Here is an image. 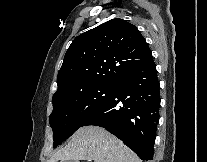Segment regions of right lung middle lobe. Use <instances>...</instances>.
Wrapping results in <instances>:
<instances>
[{
    "mask_svg": "<svg viewBox=\"0 0 207 162\" xmlns=\"http://www.w3.org/2000/svg\"><path fill=\"white\" fill-rule=\"evenodd\" d=\"M114 85H99L53 99L49 122L53 129V147L61 144L111 97Z\"/></svg>",
    "mask_w": 207,
    "mask_h": 162,
    "instance_id": "dd1d6c3e",
    "label": "right lung middle lobe"
}]
</instances>
